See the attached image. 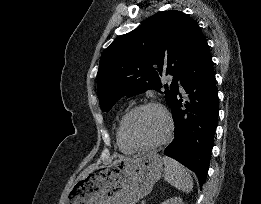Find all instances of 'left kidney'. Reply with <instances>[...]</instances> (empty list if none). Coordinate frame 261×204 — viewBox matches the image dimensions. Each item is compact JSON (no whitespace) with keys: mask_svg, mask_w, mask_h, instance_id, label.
<instances>
[{"mask_svg":"<svg viewBox=\"0 0 261 204\" xmlns=\"http://www.w3.org/2000/svg\"><path fill=\"white\" fill-rule=\"evenodd\" d=\"M161 204H184V203L181 198L173 197V198L167 199L166 201L162 202Z\"/></svg>","mask_w":261,"mask_h":204,"instance_id":"left-kidney-1","label":"left kidney"}]
</instances>
